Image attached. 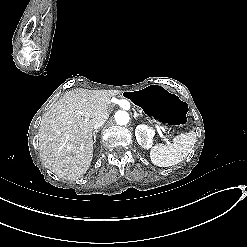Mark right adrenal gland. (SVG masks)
Here are the masks:
<instances>
[{"label": "right adrenal gland", "mask_w": 247, "mask_h": 247, "mask_svg": "<svg viewBox=\"0 0 247 247\" xmlns=\"http://www.w3.org/2000/svg\"><path fill=\"white\" fill-rule=\"evenodd\" d=\"M99 130H94L93 131V137H94V143L96 142V133H98Z\"/></svg>", "instance_id": "obj_1"}]
</instances>
